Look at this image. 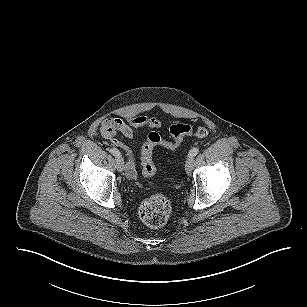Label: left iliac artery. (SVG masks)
Returning a JSON list of instances; mask_svg holds the SVG:
<instances>
[{"label": "left iliac artery", "instance_id": "1", "mask_svg": "<svg viewBox=\"0 0 307 307\" xmlns=\"http://www.w3.org/2000/svg\"><path fill=\"white\" fill-rule=\"evenodd\" d=\"M199 153V148L194 147L189 151L188 157H194Z\"/></svg>", "mask_w": 307, "mask_h": 307}]
</instances>
